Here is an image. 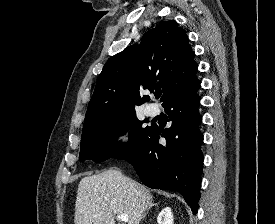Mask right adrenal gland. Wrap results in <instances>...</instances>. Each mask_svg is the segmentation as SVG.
Wrapping results in <instances>:
<instances>
[{"label":"right adrenal gland","mask_w":275,"mask_h":224,"mask_svg":"<svg viewBox=\"0 0 275 224\" xmlns=\"http://www.w3.org/2000/svg\"><path fill=\"white\" fill-rule=\"evenodd\" d=\"M153 206H158V203H152L146 210V212L143 215V219L145 218L146 214L148 213V211L153 207Z\"/></svg>","instance_id":"2a0ac1e0"}]
</instances>
